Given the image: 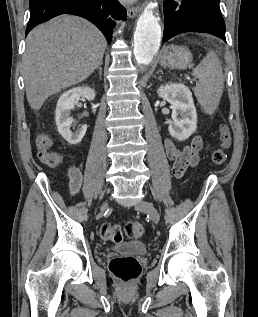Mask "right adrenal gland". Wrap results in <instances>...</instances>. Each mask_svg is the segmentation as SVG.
Masks as SVG:
<instances>
[{
	"label": "right adrenal gland",
	"mask_w": 258,
	"mask_h": 317,
	"mask_svg": "<svg viewBox=\"0 0 258 317\" xmlns=\"http://www.w3.org/2000/svg\"><path fill=\"white\" fill-rule=\"evenodd\" d=\"M101 64H103V62H99L98 66H96V68H98L99 70V74H102V66Z\"/></svg>",
	"instance_id": "2a0ac1e0"
}]
</instances>
